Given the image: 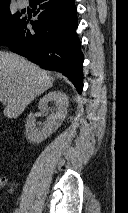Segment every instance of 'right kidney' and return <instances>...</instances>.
I'll list each match as a JSON object with an SVG mask.
<instances>
[{"label": "right kidney", "instance_id": "1", "mask_svg": "<svg viewBox=\"0 0 128 213\" xmlns=\"http://www.w3.org/2000/svg\"><path fill=\"white\" fill-rule=\"evenodd\" d=\"M50 102L55 105V108L47 118L41 130L36 128V120L32 113H30L27 117L25 124V134L27 139L32 143L40 144L45 139H47L59 128L67 115L69 102L68 97L64 92L54 90L47 93L40 99L38 108L44 111L47 109L48 103Z\"/></svg>", "mask_w": 128, "mask_h": 213}]
</instances>
